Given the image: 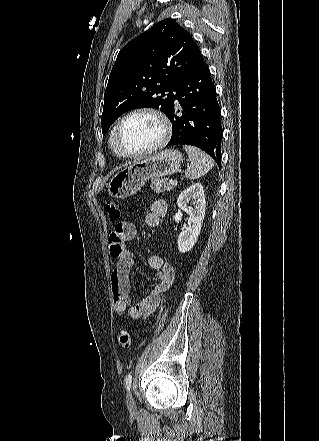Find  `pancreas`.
I'll use <instances>...</instances> for the list:
<instances>
[{"label":"pancreas","mask_w":319,"mask_h":441,"mask_svg":"<svg viewBox=\"0 0 319 441\" xmlns=\"http://www.w3.org/2000/svg\"><path fill=\"white\" fill-rule=\"evenodd\" d=\"M151 189L159 194L165 191H170L173 189V186L171 185L170 181H168V179H156L154 181H152L151 183Z\"/></svg>","instance_id":"1"}]
</instances>
